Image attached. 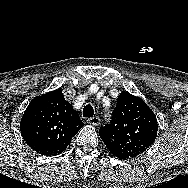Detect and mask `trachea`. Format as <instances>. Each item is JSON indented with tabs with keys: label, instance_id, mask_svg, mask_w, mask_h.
I'll return each instance as SVG.
<instances>
[{
	"label": "trachea",
	"instance_id": "obj_1",
	"mask_svg": "<svg viewBox=\"0 0 188 188\" xmlns=\"http://www.w3.org/2000/svg\"><path fill=\"white\" fill-rule=\"evenodd\" d=\"M93 115H94V109H93L92 105L87 104L86 106H84L83 116L84 117H92Z\"/></svg>",
	"mask_w": 188,
	"mask_h": 188
}]
</instances>
